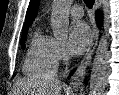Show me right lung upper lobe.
I'll list each match as a JSON object with an SVG mask.
<instances>
[{"mask_svg": "<svg viewBox=\"0 0 119 95\" xmlns=\"http://www.w3.org/2000/svg\"><path fill=\"white\" fill-rule=\"evenodd\" d=\"M38 5L39 0H30L29 7L26 13L25 24L23 26V32H26L28 30V26H30L32 21L34 20L37 13Z\"/></svg>", "mask_w": 119, "mask_h": 95, "instance_id": "right-lung-upper-lobe-1", "label": "right lung upper lobe"}]
</instances>
